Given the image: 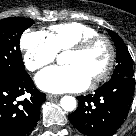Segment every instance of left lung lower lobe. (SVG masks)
<instances>
[{
    "mask_svg": "<svg viewBox=\"0 0 136 136\" xmlns=\"http://www.w3.org/2000/svg\"><path fill=\"white\" fill-rule=\"evenodd\" d=\"M135 78L110 80L95 94L79 96V105L68 116L71 124L88 136H109L127 117L134 95Z\"/></svg>",
    "mask_w": 136,
    "mask_h": 136,
    "instance_id": "left-lung-lower-lobe-1",
    "label": "left lung lower lobe"
}]
</instances>
